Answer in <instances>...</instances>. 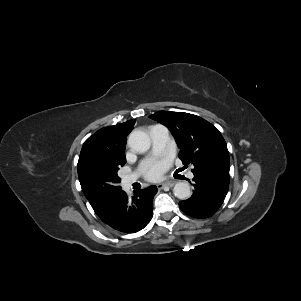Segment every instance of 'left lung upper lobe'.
<instances>
[{"instance_id":"1","label":"left lung upper lobe","mask_w":301,"mask_h":301,"mask_svg":"<svg viewBox=\"0 0 301 301\" xmlns=\"http://www.w3.org/2000/svg\"><path fill=\"white\" fill-rule=\"evenodd\" d=\"M149 118L164 124L174 135L183 164H193L194 175L229 184V152L218 129L199 116L159 111Z\"/></svg>"}]
</instances>
